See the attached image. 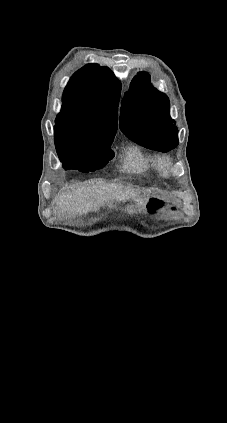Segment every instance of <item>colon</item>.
I'll return each instance as SVG.
<instances>
[{
	"instance_id": "5ec220e1",
	"label": "colon",
	"mask_w": 227,
	"mask_h": 423,
	"mask_svg": "<svg viewBox=\"0 0 227 423\" xmlns=\"http://www.w3.org/2000/svg\"><path fill=\"white\" fill-rule=\"evenodd\" d=\"M163 205H164V202H163L161 199H158V198H153V199L151 200L150 205H149V209H150L151 211H154V210H156V208H159V207H161V206H163Z\"/></svg>"
}]
</instances>
